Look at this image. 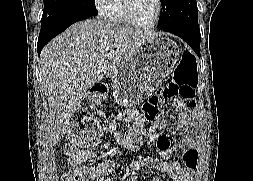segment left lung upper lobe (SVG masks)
I'll list each match as a JSON object with an SVG mask.
<instances>
[{
    "mask_svg": "<svg viewBox=\"0 0 253 181\" xmlns=\"http://www.w3.org/2000/svg\"><path fill=\"white\" fill-rule=\"evenodd\" d=\"M158 27L199 28L196 0H161Z\"/></svg>",
    "mask_w": 253,
    "mask_h": 181,
    "instance_id": "1",
    "label": "left lung upper lobe"
}]
</instances>
